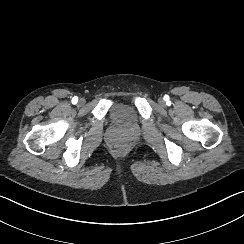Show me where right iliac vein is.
<instances>
[{"mask_svg": "<svg viewBox=\"0 0 244 244\" xmlns=\"http://www.w3.org/2000/svg\"><path fill=\"white\" fill-rule=\"evenodd\" d=\"M85 104V99L84 98H80L79 99V106H83Z\"/></svg>", "mask_w": 244, "mask_h": 244, "instance_id": "63e3f726", "label": "right iliac vein"}]
</instances>
